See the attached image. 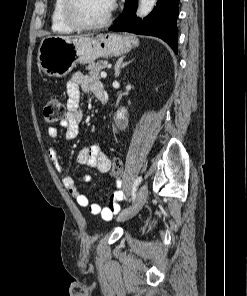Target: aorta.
Masks as SVG:
<instances>
[{
    "instance_id": "obj_1",
    "label": "aorta",
    "mask_w": 247,
    "mask_h": 296,
    "mask_svg": "<svg viewBox=\"0 0 247 296\" xmlns=\"http://www.w3.org/2000/svg\"><path fill=\"white\" fill-rule=\"evenodd\" d=\"M157 0H140L137 15L139 17L147 16L155 6ZM125 109H121L118 111L117 118L118 119H124L125 118Z\"/></svg>"
}]
</instances>
